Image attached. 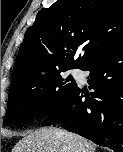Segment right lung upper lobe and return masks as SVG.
<instances>
[{"instance_id":"right-lung-upper-lobe-1","label":"right lung upper lobe","mask_w":123,"mask_h":152,"mask_svg":"<svg viewBox=\"0 0 123 152\" xmlns=\"http://www.w3.org/2000/svg\"><path fill=\"white\" fill-rule=\"evenodd\" d=\"M123 40V0H57L43 8L26 31L9 93L24 81L61 69H83L107 47ZM78 49L83 56L73 57Z\"/></svg>"}]
</instances>
